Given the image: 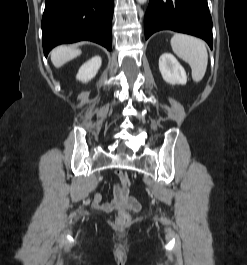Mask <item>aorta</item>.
I'll use <instances>...</instances> for the list:
<instances>
[{"label": "aorta", "mask_w": 247, "mask_h": 265, "mask_svg": "<svg viewBox=\"0 0 247 265\" xmlns=\"http://www.w3.org/2000/svg\"><path fill=\"white\" fill-rule=\"evenodd\" d=\"M137 1H138V3H140V4H144V3H146L147 0H137Z\"/></svg>", "instance_id": "762f6f07"}]
</instances>
